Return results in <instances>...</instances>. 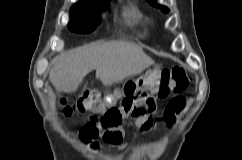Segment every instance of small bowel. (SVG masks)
I'll return each instance as SVG.
<instances>
[{"label":"small bowel","instance_id":"c3829d8e","mask_svg":"<svg viewBox=\"0 0 242 160\" xmlns=\"http://www.w3.org/2000/svg\"><path fill=\"white\" fill-rule=\"evenodd\" d=\"M120 109H122V106H120ZM175 116H176V113H173L168 118L165 112V120L169 124H172L175 121ZM136 124L143 130H149L153 126V122H148L147 118L136 119ZM124 136H125L124 129L121 127V125H119L116 128L112 129L111 131L102 134V139L106 144L118 146L122 143Z\"/></svg>","mask_w":242,"mask_h":160}]
</instances>
